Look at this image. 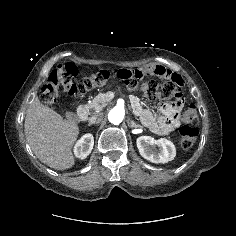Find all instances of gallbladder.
Segmentation results:
<instances>
[{
	"mask_svg": "<svg viewBox=\"0 0 236 236\" xmlns=\"http://www.w3.org/2000/svg\"><path fill=\"white\" fill-rule=\"evenodd\" d=\"M66 116H67L68 118H71V119L73 118V116H72L70 113H68V112L66 113Z\"/></svg>",
	"mask_w": 236,
	"mask_h": 236,
	"instance_id": "gallbladder-1",
	"label": "gallbladder"
}]
</instances>
